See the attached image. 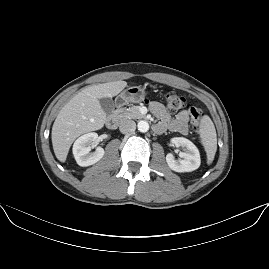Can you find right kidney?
<instances>
[{
    "mask_svg": "<svg viewBox=\"0 0 269 269\" xmlns=\"http://www.w3.org/2000/svg\"><path fill=\"white\" fill-rule=\"evenodd\" d=\"M98 134L95 132L80 136L73 144V155L79 166L86 167L95 164L104 156V149L97 147L90 153L91 144L96 141Z\"/></svg>",
    "mask_w": 269,
    "mask_h": 269,
    "instance_id": "right-kidney-1",
    "label": "right kidney"
}]
</instances>
